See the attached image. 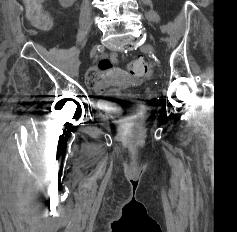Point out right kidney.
<instances>
[{
    "instance_id": "obj_1",
    "label": "right kidney",
    "mask_w": 237,
    "mask_h": 232,
    "mask_svg": "<svg viewBox=\"0 0 237 232\" xmlns=\"http://www.w3.org/2000/svg\"><path fill=\"white\" fill-rule=\"evenodd\" d=\"M63 8H69L76 0H58Z\"/></svg>"
}]
</instances>
